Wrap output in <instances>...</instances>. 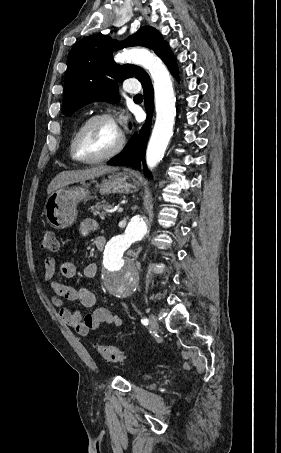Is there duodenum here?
<instances>
[{
  "mask_svg": "<svg viewBox=\"0 0 281 453\" xmlns=\"http://www.w3.org/2000/svg\"><path fill=\"white\" fill-rule=\"evenodd\" d=\"M106 241L103 237H100L96 242V248L98 251H103L105 248Z\"/></svg>",
  "mask_w": 281,
  "mask_h": 453,
  "instance_id": "410a0bca",
  "label": "duodenum"
}]
</instances>
